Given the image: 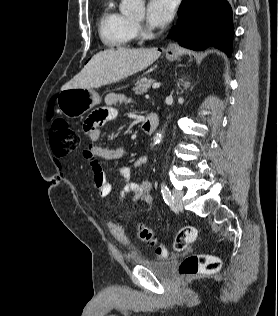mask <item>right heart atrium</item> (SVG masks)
<instances>
[{
  "mask_svg": "<svg viewBox=\"0 0 278 316\" xmlns=\"http://www.w3.org/2000/svg\"><path fill=\"white\" fill-rule=\"evenodd\" d=\"M140 29V26L138 23H133V30H134V33H137Z\"/></svg>",
  "mask_w": 278,
  "mask_h": 316,
  "instance_id": "right-heart-atrium-1",
  "label": "right heart atrium"
}]
</instances>
